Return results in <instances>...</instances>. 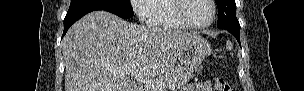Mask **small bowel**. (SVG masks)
<instances>
[{
	"mask_svg": "<svg viewBox=\"0 0 304 91\" xmlns=\"http://www.w3.org/2000/svg\"><path fill=\"white\" fill-rule=\"evenodd\" d=\"M186 91H209L210 83L209 82H201L194 85H189L185 88Z\"/></svg>",
	"mask_w": 304,
	"mask_h": 91,
	"instance_id": "c3829d8e",
	"label": "small bowel"
}]
</instances>
